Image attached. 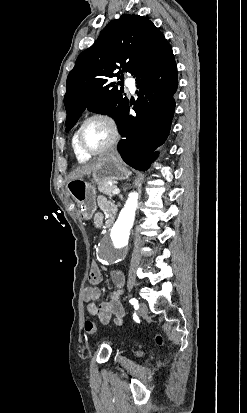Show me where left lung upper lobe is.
<instances>
[{"label": "left lung upper lobe", "instance_id": "obj_1", "mask_svg": "<svg viewBox=\"0 0 247 413\" xmlns=\"http://www.w3.org/2000/svg\"><path fill=\"white\" fill-rule=\"evenodd\" d=\"M170 47L164 35L147 18L124 14L103 29L95 44L83 51L67 77L64 105L66 132L85 109L113 117L122 124L129 100L118 90L123 73L137 77L163 49Z\"/></svg>", "mask_w": 247, "mask_h": 413}]
</instances>
